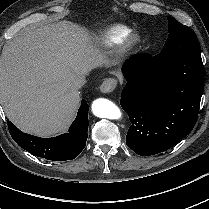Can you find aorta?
Returning a JSON list of instances; mask_svg holds the SVG:
<instances>
[{
    "label": "aorta",
    "instance_id": "1",
    "mask_svg": "<svg viewBox=\"0 0 209 209\" xmlns=\"http://www.w3.org/2000/svg\"><path fill=\"white\" fill-rule=\"evenodd\" d=\"M91 108L93 114L99 118L119 119L121 117L119 108L113 102L104 98L94 100Z\"/></svg>",
    "mask_w": 209,
    "mask_h": 209
}]
</instances>
